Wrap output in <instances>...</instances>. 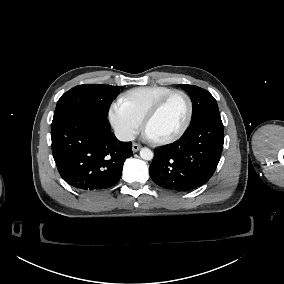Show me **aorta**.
Wrapping results in <instances>:
<instances>
[{"label":"aorta","mask_w":284,"mask_h":284,"mask_svg":"<svg viewBox=\"0 0 284 284\" xmlns=\"http://www.w3.org/2000/svg\"><path fill=\"white\" fill-rule=\"evenodd\" d=\"M140 156L143 160H151L153 158V152L149 148H142L140 150Z\"/></svg>","instance_id":"762f6f07"}]
</instances>
